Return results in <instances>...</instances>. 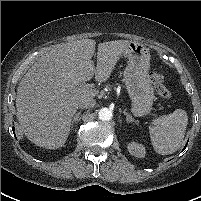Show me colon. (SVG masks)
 <instances>
[{"mask_svg":"<svg viewBox=\"0 0 201 201\" xmlns=\"http://www.w3.org/2000/svg\"><path fill=\"white\" fill-rule=\"evenodd\" d=\"M150 79L155 87L158 96L164 100L169 99L171 96V92L165 86L163 76L157 72H152L150 74Z\"/></svg>","mask_w":201,"mask_h":201,"instance_id":"1","label":"colon"}]
</instances>
